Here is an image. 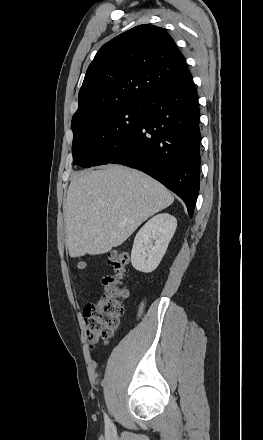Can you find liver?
I'll use <instances>...</instances> for the list:
<instances>
[{"instance_id":"1","label":"liver","mask_w":263,"mask_h":440,"mask_svg":"<svg viewBox=\"0 0 263 440\" xmlns=\"http://www.w3.org/2000/svg\"><path fill=\"white\" fill-rule=\"evenodd\" d=\"M174 202L148 175L120 165L77 173L66 198V245L73 258L121 245L147 218Z\"/></svg>"}]
</instances>
